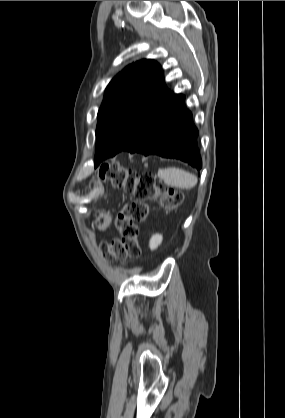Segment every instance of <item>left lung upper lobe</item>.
Masks as SVG:
<instances>
[{"instance_id":"5c2ea615","label":"left lung upper lobe","mask_w":285,"mask_h":418,"mask_svg":"<svg viewBox=\"0 0 285 418\" xmlns=\"http://www.w3.org/2000/svg\"><path fill=\"white\" fill-rule=\"evenodd\" d=\"M170 91L160 65L143 59L127 66L106 88L98 111L95 168L99 154L114 156L122 151Z\"/></svg>"}]
</instances>
